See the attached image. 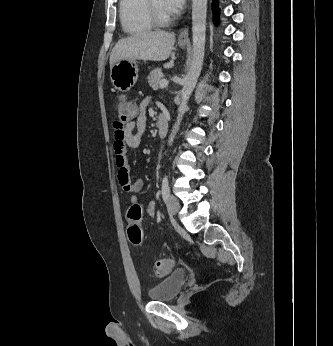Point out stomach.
Returning <instances> with one entry per match:
<instances>
[{
  "label": "stomach",
  "mask_w": 333,
  "mask_h": 346,
  "mask_svg": "<svg viewBox=\"0 0 333 346\" xmlns=\"http://www.w3.org/2000/svg\"><path fill=\"white\" fill-rule=\"evenodd\" d=\"M184 48L185 43H179ZM138 79V66L135 60H120L110 69V80L115 89L129 91Z\"/></svg>",
  "instance_id": "0dacf381"
}]
</instances>
